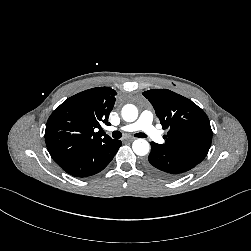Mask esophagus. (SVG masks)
Instances as JSON below:
<instances>
[{
  "label": "esophagus",
  "mask_w": 251,
  "mask_h": 251,
  "mask_svg": "<svg viewBox=\"0 0 251 251\" xmlns=\"http://www.w3.org/2000/svg\"><path fill=\"white\" fill-rule=\"evenodd\" d=\"M135 138L134 137H128L127 140L128 141H133Z\"/></svg>",
  "instance_id": "1"
}]
</instances>
